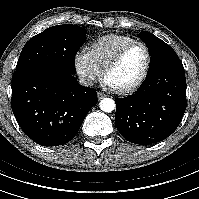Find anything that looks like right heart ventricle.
<instances>
[{"label":"right heart ventricle","instance_id":"right-heart-ventricle-1","mask_svg":"<svg viewBox=\"0 0 199 199\" xmlns=\"http://www.w3.org/2000/svg\"><path fill=\"white\" fill-rule=\"evenodd\" d=\"M133 41L129 36L110 34L93 41L88 52L96 66L103 70L122 47Z\"/></svg>","mask_w":199,"mask_h":199}]
</instances>
